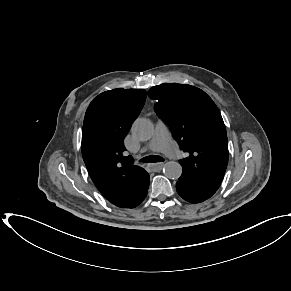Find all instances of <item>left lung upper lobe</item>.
Instances as JSON below:
<instances>
[{
	"instance_id": "left-lung-upper-lobe-1",
	"label": "left lung upper lobe",
	"mask_w": 291,
	"mask_h": 291,
	"mask_svg": "<svg viewBox=\"0 0 291 291\" xmlns=\"http://www.w3.org/2000/svg\"><path fill=\"white\" fill-rule=\"evenodd\" d=\"M158 116L188 153L180 161L183 175L218 189L228 164V141L220 111L201 89L178 83L150 88Z\"/></svg>"
}]
</instances>
